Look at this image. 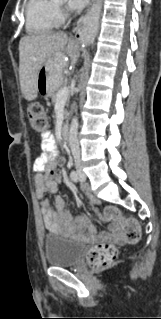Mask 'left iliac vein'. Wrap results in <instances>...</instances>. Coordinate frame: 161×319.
<instances>
[{"instance_id":"1","label":"left iliac vein","mask_w":161,"mask_h":319,"mask_svg":"<svg viewBox=\"0 0 161 319\" xmlns=\"http://www.w3.org/2000/svg\"><path fill=\"white\" fill-rule=\"evenodd\" d=\"M86 180V177H85V175L81 172L80 173V181L81 182H84Z\"/></svg>"}]
</instances>
